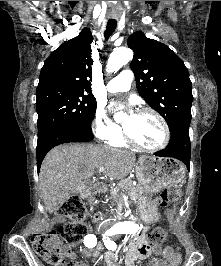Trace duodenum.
Masks as SVG:
<instances>
[{
  "mask_svg": "<svg viewBox=\"0 0 221 266\" xmlns=\"http://www.w3.org/2000/svg\"><path fill=\"white\" fill-rule=\"evenodd\" d=\"M101 193H102V191H100V190L96 191V190H94V189H89V190L86 192V196H87L88 198H91V197H93L94 195H100ZM108 215H115V212H108ZM103 217H104L103 212H96V213H94V215H93V219H94V220H100V219H102Z\"/></svg>",
  "mask_w": 221,
  "mask_h": 266,
  "instance_id": "obj_1",
  "label": "duodenum"
}]
</instances>
